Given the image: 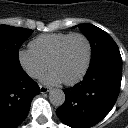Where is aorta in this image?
<instances>
[{
	"label": "aorta",
	"instance_id": "aorta-1",
	"mask_svg": "<svg viewBox=\"0 0 128 128\" xmlns=\"http://www.w3.org/2000/svg\"><path fill=\"white\" fill-rule=\"evenodd\" d=\"M50 103L54 106H61L65 102V94L61 89H52L49 92Z\"/></svg>",
	"mask_w": 128,
	"mask_h": 128
}]
</instances>
